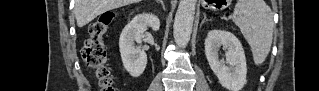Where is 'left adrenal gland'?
<instances>
[{
    "mask_svg": "<svg viewBox=\"0 0 319 91\" xmlns=\"http://www.w3.org/2000/svg\"><path fill=\"white\" fill-rule=\"evenodd\" d=\"M204 19L202 20L200 26H202L206 21H208V19L206 18V14L204 13Z\"/></svg>",
    "mask_w": 319,
    "mask_h": 91,
    "instance_id": "a2214340",
    "label": "left adrenal gland"
}]
</instances>
